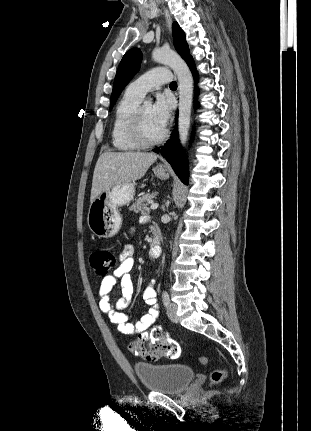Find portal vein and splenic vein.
<instances>
[{"mask_svg":"<svg viewBox=\"0 0 311 431\" xmlns=\"http://www.w3.org/2000/svg\"><path fill=\"white\" fill-rule=\"evenodd\" d=\"M159 204H150V210H157Z\"/></svg>","mask_w":311,"mask_h":431,"instance_id":"obj_1","label":"portal vein and splenic vein"}]
</instances>
